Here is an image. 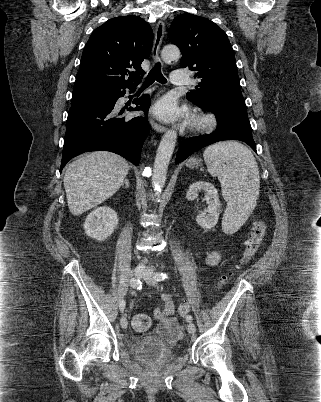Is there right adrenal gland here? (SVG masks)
<instances>
[{"instance_id":"right-adrenal-gland-1","label":"right adrenal gland","mask_w":321,"mask_h":402,"mask_svg":"<svg viewBox=\"0 0 321 402\" xmlns=\"http://www.w3.org/2000/svg\"><path fill=\"white\" fill-rule=\"evenodd\" d=\"M124 185H125L126 188H129V180H128V178H126L124 180V182L122 183V186H124Z\"/></svg>"}]
</instances>
